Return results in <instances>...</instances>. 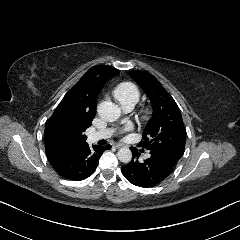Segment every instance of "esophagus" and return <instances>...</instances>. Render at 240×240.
<instances>
[{
	"label": "esophagus",
	"mask_w": 240,
	"mask_h": 240,
	"mask_svg": "<svg viewBox=\"0 0 240 240\" xmlns=\"http://www.w3.org/2000/svg\"><path fill=\"white\" fill-rule=\"evenodd\" d=\"M115 147L116 148H121V147H127V145H125V144H116Z\"/></svg>",
	"instance_id": "esophagus-1"
}]
</instances>
